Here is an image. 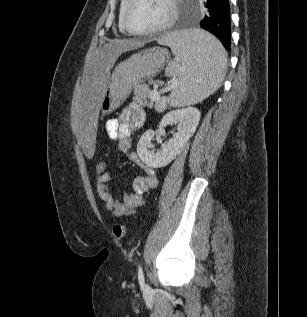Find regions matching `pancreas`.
<instances>
[{
	"label": "pancreas",
	"mask_w": 307,
	"mask_h": 317,
	"mask_svg": "<svg viewBox=\"0 0 307 317\" xmlns=\"http://www.w3.org/2000/svg\"><path fill=\"white\" fill-rule=\"evenodd\" d=\"M150 92L151 91L148 89L147 86H139L135 90V94L137 95V98L141 97L142 99H144V105H146L149 108H152L153 105H154V101L153 100H150V101L147 100V98L150 97Z\"/></svg>",
	"instance_id": "obj_1"
}]
</instances>
